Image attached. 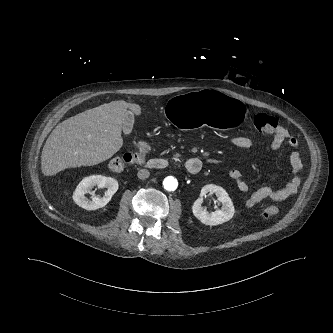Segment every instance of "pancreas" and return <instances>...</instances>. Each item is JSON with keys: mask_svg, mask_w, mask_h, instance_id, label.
I'll use <instances>...</instances> for the list:
<instances>
[{"mask_svg": "<svg viewBox=\"0 0 333 333\" xmlns=\"http://www.w3.org/2000/svg\"><path fill=\"white\" fill-rule=\"evenodd\" d=\"M172 160L174 161H179L180 160V154H175L173 157H172Z\"/></svg>", "mask_w": 333, "mask_h": 333, "instance_id": "obj_1", "label": "pancreas"}]
</instances>
